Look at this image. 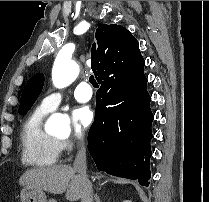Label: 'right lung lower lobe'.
I'll return each instance as SVG.
<instances>
[{"label":"right lung lower lobe","mask_w":209,"mask_h":202,"mask_svg":"<svg viewBox=\"0 0 209 202\" xmlns=\"http://www.w3.org/2000/svg\"><path fill=\"white\" fill-rule=\"evenodd\" d=\"M144 73L118 89L100 88L88 133V150L100 171L149 185L154 119Z\"/></svg>","instance_id":"right-lung-lower-lobe-1"}]
</instances>
